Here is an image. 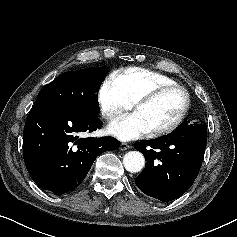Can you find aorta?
<instances>
[{
	"instance_id": "obj_1",
	"label": "aorta",
	"mask_w": 237,
	"mask_h": 237,
	"mask_svg": "<svg viewBox=\"0 0 237 237\" xmlns=\"http://www.w3.org/2000/svg\"><path fill=\"white\" fill-rule=\"evenodd\" d=\"M123 164L127 171L131 173L139 172L145 165V158L138 151H130L125 154Z\"/></svg>"
}]
</instances>
